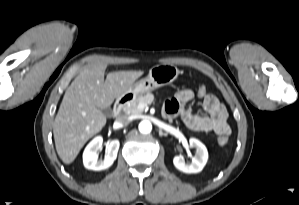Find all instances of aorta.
<instances>
[{
    "instance_id": "1",
    "label": "aorta",
    "mask_w": 299,
    "mask_h": 205,
    "mask_svg": "<svg viewBox=\"0 0 299 205\" xmlns=\"http://www.w3.org/2000/svg\"><path fill=\"white\" fill-rule=\"evenodd\" d=\"M152 130V124L151 122L147 121V120H143L140 122L139 124V131L143 134H148L150 133Z\"/></svg>"
}]
</instances>
